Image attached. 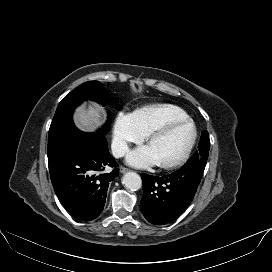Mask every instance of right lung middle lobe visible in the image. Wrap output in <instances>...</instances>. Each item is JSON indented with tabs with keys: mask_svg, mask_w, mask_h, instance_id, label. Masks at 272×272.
Wrapping results in <instances>:
<instances>
[{
	"mask_svg": "<svg viewBox=\"0 0 272 272\" xmlns=\"http://www.w3.org/2000/svg\"><path fill=\"white\" fill-rule=\"evenodd\" d=\"M103 101L106 99V89L99 81H88L66 95L59 103L50 125L48 136V157L56 153L77 129L73 123L74 109L84 100ZM111 124L108 116L105 129Z\"/></svg>",
	"mask_w": 272,
	"mask_h": 272,
	"instance_id": "dd1d6c3e",
	"label": "right lung middle lobe"
}]
</instances>
